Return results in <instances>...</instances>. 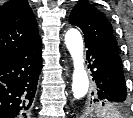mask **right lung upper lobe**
<instances>
[{
  "mask_svg": "<svg viewBox=\"0 0 133 118\" xmlns=\"http://www.w3.org/2000/svg\"><path fill=\"white\" fill-rule=\"evenodd\" d=\"M41 41L27 0H9L0 7V61Z\"/></svg>",
  "mask_w": 133,
  "mask_h": 118,
  "instance_id": "right-lung-upper-lobe-1",
  "label": "right lung upper lobe"
}]
</instances>
